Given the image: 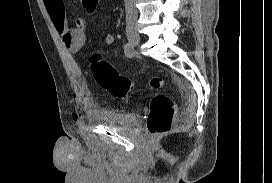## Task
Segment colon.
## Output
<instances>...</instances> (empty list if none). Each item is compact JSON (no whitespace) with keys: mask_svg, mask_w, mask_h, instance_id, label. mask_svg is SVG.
<instances>
[{"mask_svg":"<svg viewBox=\"0 0 272 183\" xmlns=\"http://www.w3.org/2000/svg\"><path fill=\"white\" fill-rule=\"evenodd\" d=\"M87 11L92 12L99 4V0H82ZM91 70L96 82L112 96L123 99L129 96L134 88L131 79L119 74L108 62L102 60L99 55L91 58ZM149 85L153 89H159L164 85L160 77H152ZM175 104L164 94H157L150 103L147 118V130L153 137H159L168 133L175 117Z\"/></svg>","mask_w":272,"mask_h":183,"instance_id":"obj_1","label":"colon"}]
</instances>
